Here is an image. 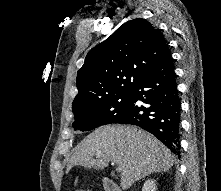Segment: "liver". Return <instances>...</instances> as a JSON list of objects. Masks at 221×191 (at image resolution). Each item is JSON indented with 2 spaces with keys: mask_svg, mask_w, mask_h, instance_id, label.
Listing matches in <instances>:
<instances>
[{
  "mask_svg": "<svg viewBox=\"0 0 221 191\" xmlns=\"http://www.w3.org/2000/svg\"><path fill=\"white\" fill-rule=\"evenodd\" d=\"M113 161L121 171V187L153 172L168 171L174 157L159 140L135 126H103L94 130L74 149L67 170L80 165L103 169Z\"/></svg>",
  "mask_w": 221,
  "mask_h": 191,
  "instance_id": "1",
  "label": "liver"
}]
</instances>
